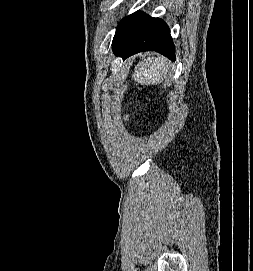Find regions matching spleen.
I'll use <instances>...</instances> for the list:
<instances>
[{"mask_svg":"<svg viewBox=\"0 0 253 271\" xmlns=\"http://www.w3.org/2000/svg\"><path fill=\"white\" fill-rule=\"evenodd\" d=\"M166 59L147 57L135 67L133 78L140 84H159L167 74Z\"/></svg>","mask_w":253,"mask_h":271,"instance_id":"3e777b00","label":"spleen"}]
</instances>
